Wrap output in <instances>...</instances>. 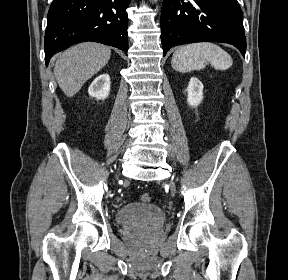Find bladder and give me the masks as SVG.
Returning a JSON list of instances; mask_svg holds the SVG:
<instances>
[{"mask_svg": "<svg viewBox=\"0 0 288 280\" xmlns=\"http://www.w3.org/2000/svg\"><path fill=\"white\" fill-rule=\"evenodd\" d=\"M115 219L124 227L153 230L163 225L166 214L156 205L132 202L119 208Z\"/></svg>", "mask_w": 288, "mask_h": 280, "instance_id": "31cf9c89", "label": "bladder"}]
</instances>
